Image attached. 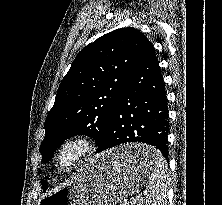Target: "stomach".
<instances>
[{"instance_id": "0dacf381", "label": "stomach", "mask_w": 222, "mask_h": 205, "mask_svg": "<svg viewBox=\"0 0 222 205\" xmlns=\"http://www.w3.org/2000/svg\"><path fill=\"white\" fill-rule=\"evenodd\" d=\"M139 153L155 156L148 145L130 144L89 159L68 184L40 197L38 205H115L148 179L149 164L133 161Z\"/></svg>"}]
</instances>
